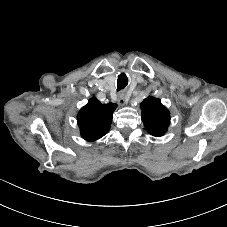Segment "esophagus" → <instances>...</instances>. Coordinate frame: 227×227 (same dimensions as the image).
Segmentation results:
<instances>
[{"mask_svg":"<svg viewBox=\"0 0 227 227\" xmlns=\"http://www.w3.org/2000/svg\"><path fill=\"white\" fill-rule=\"evenodd\" d=\"M117 102L119 105L123 106L127 103V100L125 99V97L123 95H119L117 98Z\"/></svg>","mask_w":227,"mask_h":227,"instance_id":"1","label":"esophagus"}]
</instances>
